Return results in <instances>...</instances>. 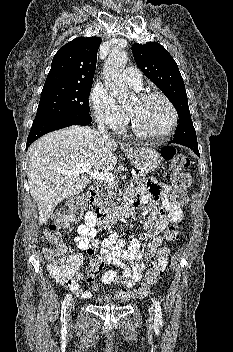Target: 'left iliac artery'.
<instances>
[{"label":"left iliac artery","instance_id":"1","mask_svg":"<svg viewBox=\"0 0 233 352\" xmlns=\"http://www.w3.org/2000/svg\"><path fill=\"white\" fill-rule=\"evenodd\" d=\"M152 301H153V305L155 307V313H156L155 319H156V321L161 323L162 322V311H161L160 304L155 298H153Z\"/></svg>","mask_w":233,"mask_h":352}]
</instances>
